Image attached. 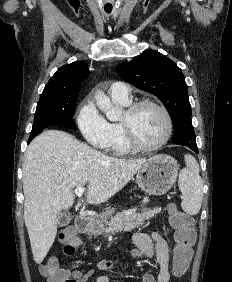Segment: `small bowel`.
Wrapping results in <instances>:
<instances>
[{
    "label": "small bowel",
    "mask_w": 232,
    "mask_h": 282,
    "mask_svg": "<svg viewBox=\"0 0 232 282\" xmlns=\"http://www.w3.org/2000/svg\"><path fill=\"white\" fill-rule=\"evenodd\" d=\"M132 241L135 245L134 255L143 256L148 260L155 259L159 266V272L157 276L151 273H146L142 277V282H171V276L169 271L170 253L169 247L165 239L158 233H135L132 236ZM57 262V259L51 257ZM114 264L113 260H103L96 264L97 271H106L112 268ZM94 269L88 271H75L73 273L74 282H88L95 274ZM62 274L70 277L69 271L62 269ZM123 275V272L119 271L114 274H101L95 278L94 282H111L113 279ZM48 282H54L48 277Z\"/></svg>",
    "instance_id": "c3829d8e"
}]
</instances>
